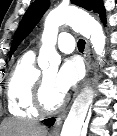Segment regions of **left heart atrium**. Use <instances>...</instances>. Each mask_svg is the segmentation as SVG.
Returning a JSON list of instances; mask_svg holds the SVG:
<instances>
[{"label":"left heart atrium","mask_w":117,"mask_h":136,"mask_svg":"<svg viewBox=\"0 0 117 136\" xmlns=\"http://www.w3.org/2000/svg\"><path fill=\"white\" fill-rule=\"evenodd\" d=\"M83 69L80 62L76 59H66L60 66L55 80L54 87L62 96L73 88L81 79Z\"/></svg>","instance_id":"1"}]
</instances>
